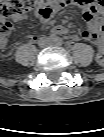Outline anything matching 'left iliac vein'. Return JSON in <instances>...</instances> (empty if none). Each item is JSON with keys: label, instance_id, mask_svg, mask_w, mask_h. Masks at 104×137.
I'll return each instance as SVG.
<instances>
[{"label": "left iliac vein", "instance_id": "left-iliac-vein-1", "mask_svg": "<svg viewBox=\"0 0 104 137\" xmlns=\"http://www.w3.org/2000/svg\"><path fill=\"white\" fill-rule=\"evenodd\" d=\"M50 44H51V45H54L55 43H54V42H51Z\"/></svg>", "mask_w": 104, "mask_h": 137}]
</instances>
